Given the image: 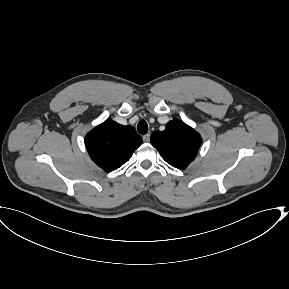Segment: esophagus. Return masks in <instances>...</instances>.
Masks as SVG:
<instances>
[{
  "label": "esophagus",
  "instance_id": "34e87169",
  "mask_svg": "<svg viewBox=\"0 0 289 289\" xmlns=\"http://www.w3.org/2000/svg\"><path fill=\"white\" fill-rule=\"evenodd\" d=\"M143 141L144 142H149L150 141V134H145V135H143Z\"/></svg>",
  "mask_w": 289,
  "mask_h": 289
}]
</instances>
